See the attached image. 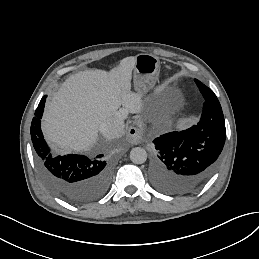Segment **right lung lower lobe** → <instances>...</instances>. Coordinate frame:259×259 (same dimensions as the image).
Listing matches in <instances>:
<instances>
[{
    "label": "right lung lower lobe",
    "instance_id": "obj_1",
    "mask_svg": "<svg viewBox=\"0 0 259 259\" xmlns=\"http://www.w3.org/2000/svg\"><path fill=\"white\" fill-rule=\"evenodd\" d=\"M46 95L41 99L31 123V138L39 173L58 196L74 204L91 202L109 188L111 165L103 154L96 158L69 154L52 156L40 126Z\"/></svg>",
    "mask_w": 259,
    "mask_h": 259
}]
</instances>
